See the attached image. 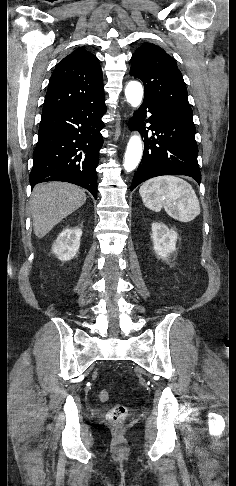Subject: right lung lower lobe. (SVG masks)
Segmentation results:
<instances>
[{"instance_id": "obj_1", "label": "right lung lower lobe", "mask_w": 236, "mask_h": 486, "mask_svg": "<svg viewBox=\"0 0 236 486\" xmlns=\"http://www.w3.org/2000/svg\"><path fill=\"white\" fill-rule=\"evenodd\" d=\"M106 112L104 98L42 113L33 152L31 187L47 181H65L89 190L97 198L100 131Z\"/></svg>"}]
</instances>
